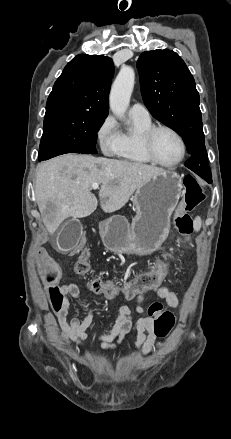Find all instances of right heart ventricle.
Instances as JSON below:
<instances>
[{"label":"right heart ventricle","mask_w":231,"mask_h":439,"mask_svg":"<svg viewBox=\"0 0 231 439\" xmlns=\"http://www.w3.org/2000/svg\"><path fill=\"white\" fill-rule=\"evenodd\" d=\"M152 126L151 120H141L131 117V128L120 131L119 147L115 153L119 159L138 165H147L151 161L144 154L140 137Z\"/></svg>","instance_id":"right-heart-ventricle-1"}]
</instances>
